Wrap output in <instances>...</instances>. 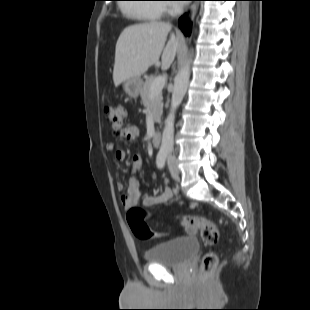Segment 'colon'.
Masks as SVG:
<instances>
[{
    "mask_svg": "<svg viewBox=\"0 0 310 310\" xmlns=\"http://www.w3.org/2000/svg\"><path fill=\"white\" fill-rule=\"evenodd\" d=\"M125 114L126 109L122 104L109 105L104 108L105 120L113 129L121 128ZM177 220L189 231L199 230L204 244L214 245L218 242L219 231L213 222L195 216H182L178 217ZM127 222L134 235L140 239L159 238L163 235L148 227L146 224V212L138 206L129 208L127 212ZM216 264L217 256L215 253L207 252L202 260V274L205 276L211 274Z\"/></svg>",
    "mask_w": 310,
    "mask_h": 310,
    "instance_id": "obj_1",
    "label": "colon"
}]
</instances>
